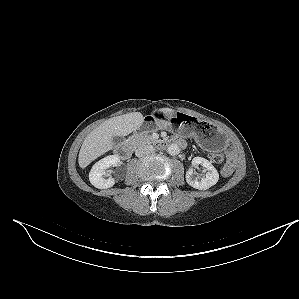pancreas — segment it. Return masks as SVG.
I'll use <instances>...</instances> for the list:
<instances>
[{"instance_id": "cf45deb5", "label": "pancreas", "mask_w": 299, "mask_h": 299, "mask_svg": "<svg viewBox=\"0 0 299 299\" xmlns=\"http://www.w3.org/2000/svg\"><path fill=\"white\" fill-rule=\"evenodd\" d=\"M128 141L134 146H139L141 144H150L154 142L152 137L148 134H134L128 139Z\"/></svg>"}]
</instances>
